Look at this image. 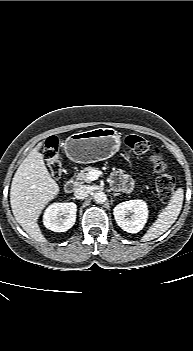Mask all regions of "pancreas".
Here are the masks:
<instances>
[{"label": "pancreas", "instance_id": "pancreas-1", "mask_svg": "<svg viewBox=\"0 0 193 351\" xmlns=\"http://www.w3.org/2000/svg\"><path fill=\"white\" fill-rule=\"evenodd\" d=\"M92 170H96V168L88 166L85 167L83 170H81L77 175H76V181L79 182H89V180L87 179V175L90 171Z\"/></svg>", "mask_w": 193, "mask_h": 351}]
</instances>
